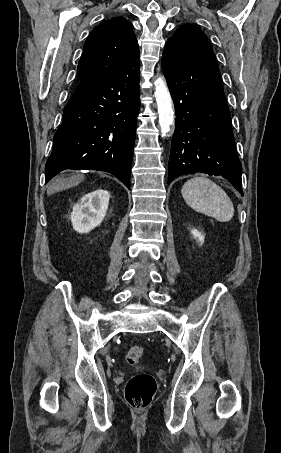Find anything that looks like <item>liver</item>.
Masks as SVG:
<instances>
[{
  "instance_id": "liver-1",
  "label": "liver",
  "mask_w": 281,
  "mask_h": 453,
  "mask_svg": "<svg viewBox=\"0 0 281 453\" xmlns=\"http://www.w3.org/2000/svg\"><path fill=\"white\" fill-rule=\"evenodd\" d=\"M82 180H84V174H74V176H68V178H56V180H52V182L48 184L47 194H54V192L65 190V188L77 186Z\"/></svg>"
}]
</instances>
